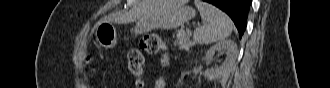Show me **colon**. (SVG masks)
<instances>
[{
  "mask_svg": "<svg viewBox=\"0 0 330 88\" xmlns=\"http://www.w3.org/2000/svg\"><path fill=\"white\" fill-rule=\"evenodd\" d=\"M167 45L163 39L157 34H147L140 39L139 47L133 48L128 53L129 69L136 78V87H143V68L144 56L143 52L148 54H157L163 52V62H167Z\"/></svg>",
  "mask_w": 330,
  "mask_h": 88,
  "instance_id": "colon-1",
  "label": "colon"
}]
</instances>
